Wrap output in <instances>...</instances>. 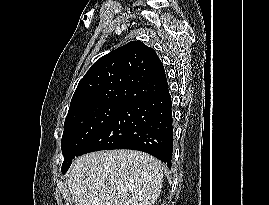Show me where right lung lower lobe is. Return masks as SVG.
I'll return each mask as SVG.
<instances>
[{
    "mask_svg": "<svg viewBox=\"0 0 269 205\" xmlns=\"http://www.w3.org/2000/svg\"><path fill=\"white\" fill-rule=\"evenodd\" d=\"M111 149L143 151L171 168L173 118L168 89L127 106L87 142L78 156Z\"/></svg>",
    "mask_w": 269,
    "mask_h": 205,
    "instance_id": "1",
    "label": "right lung lower lobe"
}]
</instances>
